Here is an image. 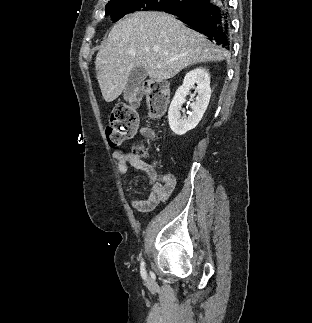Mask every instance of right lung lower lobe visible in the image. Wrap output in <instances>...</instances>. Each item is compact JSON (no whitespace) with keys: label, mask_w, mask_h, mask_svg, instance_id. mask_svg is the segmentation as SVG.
Wrapping results in <instances>:
<instances>
[{"label":"right lung lower lobe","mask_w":312,"mask_h":323,"mask_svg":"<svg viewBox=\"0 0 312 323\" xmlns=\"http://www.w3.org/2000/svg\"><path fill=\"white\" fill-rule=\"evenodd\" d=\"M227 0H186L163 11L177 16L191 29L205 35L224 50L230 51L231 23Z\"/></svg>","instance_id":"obj_1"}]
</instances>
